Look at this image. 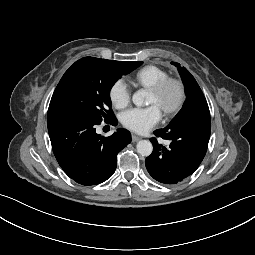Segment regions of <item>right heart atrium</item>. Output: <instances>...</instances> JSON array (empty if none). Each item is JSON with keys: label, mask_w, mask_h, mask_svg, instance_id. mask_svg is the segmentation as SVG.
<instances>
[{"label": "right heart atrium", "mask_w": 255, "mask_h": 255, "mask_svg": "<svg viewBox=\"0 0 255 255\" xmlns=\"http://www.w3.org/2000/svg\"><path fill=\"white\" fill-rule=\"evenodd\" d=\"M109 99L112 105L117 109L125 108L131 99V92L122 79L116 80L109 89Z\"/></svg>", "instance_id": "1"}]
</instances>
